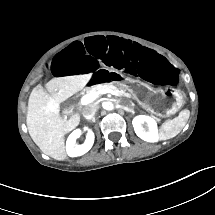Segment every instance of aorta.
Returning <instances> with one entry per match:
<instances>
[{
    "label": "aorta",
    "mask_w": 215,
    "mask_h": 215,
    "mask_svg": "<svg viewBox=\"0 0 215 215\" xmlns=\"http://www.w3.org/2000/svg\"><path fill=\"white\" fill-rule=\"evenodd\" d=\"M106 110H112L113 109V103L112 102H105V107Z\"/></svg>",
    "instance_id": "aorta-1"
}]
</instances>
